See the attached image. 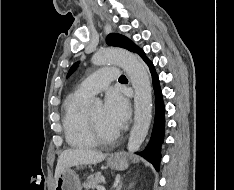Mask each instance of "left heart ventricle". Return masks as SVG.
<instances>
[{
	"label": "left heart ventricle",
	"instance_id": "1",
	"mask_svg": "<svg viewBox=\"0 0 234 190\" xmlns=\"http://www.w3.org/2000/svg\"><path fill=\"white\" fill-rule=\"evenodd\" d=\"M89 113L104 132L111 133L117 130L107 121L102 105L93 108Z\"/></svg>",
	"mask_w": 234,
	"mask_h": 190
}]
</instances>
